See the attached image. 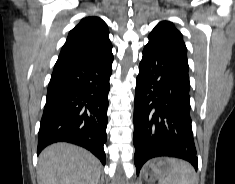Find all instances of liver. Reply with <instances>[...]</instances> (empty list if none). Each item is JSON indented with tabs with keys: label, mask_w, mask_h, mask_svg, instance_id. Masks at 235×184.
I'll use <instances>...</instances> for the list:
<instances>
[{
	"label": "liver",
	"mask_w": 235,
	"mask_h": 184,
	"mask_svg": "<svg viewBox=\"0 0 235 184\" xmlns=\"http://www.w3.org/2000/svg\"><path fill=\"white\" fill-rule=\"evenodd\" d=\"M100 174L99 160L72 144H52L39 156L38 184H98Z\"/></svg>",
	"instance_id": "6515ba94"
}]
</instances>
